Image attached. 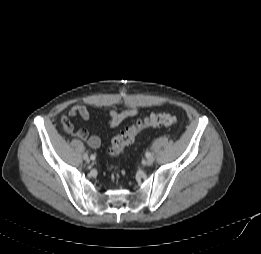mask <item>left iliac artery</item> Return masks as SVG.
<instances>
[{
    "instance_id": "left-iliac-artery-1",
    "label": "left iliac artery",
    "mask_w": 261,
    "mask_h": 254,
    "mask_svg": "<svg viewBox=\"0 0 261 254\" xmlns=\"http://www.w3.org/2000/svg\"><path fill=\"white\" fill-rule=\"evenodd\" d=\"M146 157L149 158L151 156V153L150 152H146Z\"/></svg>"
}]
</instances>
